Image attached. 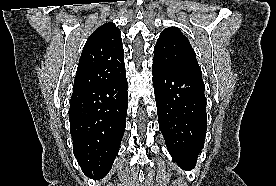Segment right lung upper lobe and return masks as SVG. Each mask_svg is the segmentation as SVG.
<instances>
[{
  "mask_svg": "<svg viewBox=\"0 0 276 186\" xmlns=\"http://www.w3.org/2000/svg\"><path fill=\"white\" fill-rule=\"evenodd\" d=\"M126 74L119 28L108 22L87 39L77 68L73 89L111 83Z\"/></svg>",
  "mask_w": 276,
  "mask_h": 186,
  "instance_id": "cb5924a9",
  "label": "right lung upper lobe"
}]
</instances>
